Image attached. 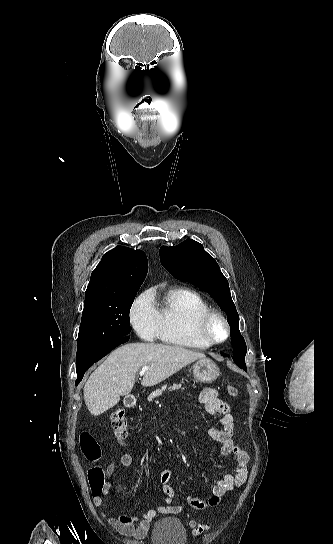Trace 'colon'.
I'll return each mask as SVG.
<instances>
[{"label": "colon", "mask_w": 333, "mask_h": 544, "mask_svg": "<svg viewBox=\"0 0 333 544\" xmlns=\"http://www.w3.org/2000/svg\"><path fill=\"white\" fill-rule=\"evenodd\" d=\"M227 393L230 397H237L238 390L232 385L227 386ZM111 427L116 438L119 441H122L127 433V417L125 410L123 408L116 409L110 417ZM80 446L85 458L92 462L96 463L101 457V449L97 441L89 433H82L80 435ZM88 481L90 483L91 489L93 492H99L103 489L106 483V472L100 466L93 465L88 470ZM190 526L193 530V533L196 535L202 534L205 532L209 526L204 523H199L196 521H191Z\"/></svg>", "instance_id": "5ec220e1"}]
</instances>
